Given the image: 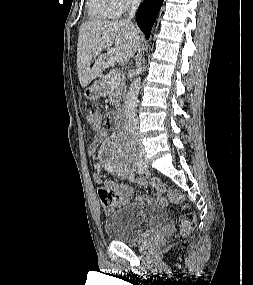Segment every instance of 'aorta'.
Masks as SVG:
<instances>
[{
    "label": "aorta",
    "mask_w": 253,
    "mask_h": 285,
    "mask_svg": "<svg viewBox=\"0 0 253 285\" xmlns=\"http://www.w3.org/2000/svg\"><path fill=\"white\" fill-rule=\"evenodd\" d=\"M141 78L137 77L131 84L126 100L124 114L126 117L127 124L131 126L135 121L137 98L140 90Z\"/></svg>",
    "instance_id": "762f6f07"
}]
</instances>
